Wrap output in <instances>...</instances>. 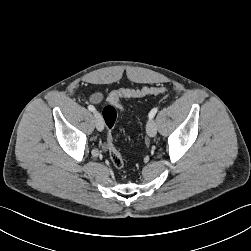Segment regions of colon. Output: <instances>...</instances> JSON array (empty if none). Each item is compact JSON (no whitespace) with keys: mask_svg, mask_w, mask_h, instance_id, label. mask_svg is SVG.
<instances>
[{"mask_svg":"<svg viewBox=\"0 0 251 251\" xmlns=\"http://www.w3.org/2000/svg\"><path fill=\"white\" fill-rule=\"evenodd\" d=\"M166 92V88L159 87H145L142 89H120L113 91L108 96V103L104 106L102 110V116L105 121L107 129V146L109 150V156L111 163L117 169L124 167V159L116 147L113 130L117 120V110L122 107V98H142L151 95H158Z\"/></svg>","mask_w":251,"mask_h":251,"instance_id":"colon-1","label":"colon"}]
</instances>
